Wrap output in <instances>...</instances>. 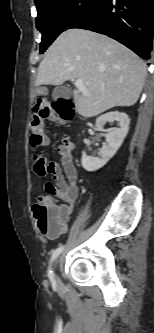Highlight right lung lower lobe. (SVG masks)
<instances>
[{"label": "right lung lower lobe", "mask_w": 154, "mask_h": 333, "mask_svg": "<svg viewBox=\"0 0 154 333\" xmlns=\"http://www.w3.org/2000/svg\"><path fill=\"white\" fill-rule=\"evenodd\" d=\"M70 28L106 34L148 59L154 31V0H101Z\"/></svg>", "instance_id": "obj_1"}]
</instances>
